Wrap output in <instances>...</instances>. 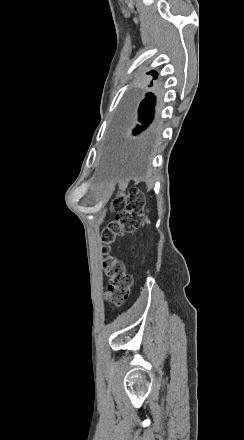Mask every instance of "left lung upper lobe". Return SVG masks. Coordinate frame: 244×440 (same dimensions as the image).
<instances>
[{
	"label": "left lung upper lobe",
	"mask_w": 244,
	"mask_h": 440,
	"mask_svg": "<svg viewBox=\"0 0 244 440\" xmlns=\"http://www.w3.org/2000/svg\"><path fill=\"white\" fill-rule=\"evenodd\" d=\"M147 74H150L153 76V79H157L158 74L154 71L148 72ZM151 84H153V82H151Z\"/></svg>",
	"instance_id": "5c2ea615"
}]
</instances>
